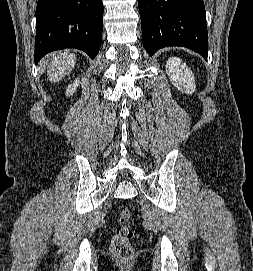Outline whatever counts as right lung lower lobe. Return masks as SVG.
I'll return each instance as SVG.
<instances>
[{
    "mask_svg": "<svg viewBox=\"0 0 253 271\" xmlns=\"http://www.w3.org/2000/svg\"><path fill=\"white\" fill-rule=\"evenodd\" d=\"M102 0H38L35 62L49 52L77 48L92 59L102 36Z\"/></svg>",
    "mask_w": 253,
    "mask_h": 271,
    "instance_id": "right-lung-lower-lobe-1",
    "label": "right lung lower lobe"
}]
</instances>
